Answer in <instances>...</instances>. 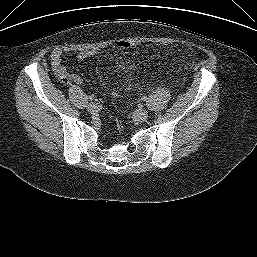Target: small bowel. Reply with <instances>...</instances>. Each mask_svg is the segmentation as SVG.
Returning <instances> with one entry per match:
<instances>
[{"label":"small bowel","mask_w":257,"mask_h":257,"mask_svg":"<svg viewBox=\"0 0 257 257\" xmlns=\"http://www.w3.org/2000/svg\"><path fill=\"white\" fill-rule=\"evenodd\" d=\"M69 50L65 48H55L50 55V63L52 69L57 73H66L65 69L61 65L62 56L64 53H67ZM97 55V52L95 50H82L77 54V58L80 61L94 58ZM115 67L117 70L131 73L135 70L136 65L131 62L130 60L124 59V58H118L115 61ZM67 74V73H66ZM69 81L74 84H81L83 79L78 74H72L68 75Z\"/></svg>","instance_id":"c3829d8e"}]
</instances>
